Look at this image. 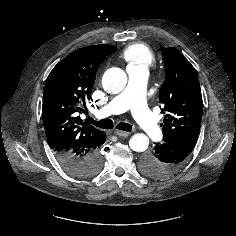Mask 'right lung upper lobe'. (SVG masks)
I'll use <instances>...</instances> for the list:
<instances>
[{"label": "right lung upper lobe", "instance_id": "obj_1", "mask_svg": "<svg viewBox=\"0 0 236 236\" xmlns=\"http://www.w3.org/2000/svg\"><path fill=\"white\" fill-rule=\"evenodd\" d=\"M115 48L111 45L80 48L50 72L42 116L48 144L58 158H86L101 145L105 133L82 123L79 114L84 112L85 102L91 97L98 66Z\"/></svg>", "mask_w": 236, "mask_h": 236}]
</instances>
